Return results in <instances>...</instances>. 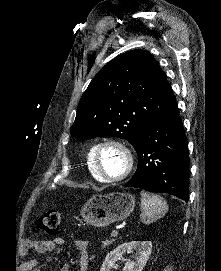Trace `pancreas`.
I'll use <instances>...</instances> for the list:
<instances>
[{
    "label": "pancreas",
    "instance_id": "cf45deb5",
    "mask_svg": "<svg viewBox=\"0 0 221 271\" xmlns=\"http://www.w3.org/2000/svg\"><path fill=\"white\" fill-rule=\"evenodd\" d=\"M115 239H99V247H113Z\"/></svg>",
    "mask_w": 221,
    "mask_h": 271
}]
</instances>
